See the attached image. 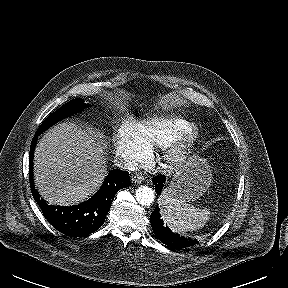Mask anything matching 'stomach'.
<instances>
[{
  "label": "stomach",
  "instance_id": "stomach-1",
  "mask_svg": "<svg viewBox=\"0 0 288 288\" xmlns=\"http://www.w3.org/2000/svg\"><path fill=\"white\" fill-rule=\"evenodd\" d=\"M212 171L205 159L190 158L173 174L172 180L165 189V194L185 202L195 201L210 187Z\"/></svg>",
  "mask_w": 288,
  "mask_h": 288
}]
</instances>
